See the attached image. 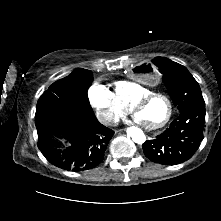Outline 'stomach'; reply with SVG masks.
I'll list each match as a JSON object with an SVG mask.
<instances>
[{"mask_svg":"<svg viewBox=\"0 0 221 221\" xmlns=\"http://www.w3.org/2000/svg\"><path fill=\"white\" fill-rule=\"evenodd\" d=\"M131 77L137 83L154 85L160 79V72L156 67L151 66L148 61L139 60L131 70Z\"/></svg>","mask_w":221,"mask_h":221,"instance_id":"stomach-1","label":"stomach"}]
</instances>
